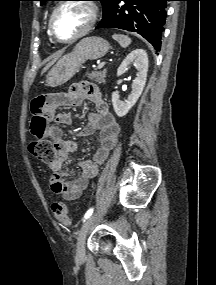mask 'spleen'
I'll return each mask as SVG.
<instances>
[{"mask_svg": "<svg viewBox=\"0 0 216 285\" xmlns=\"http://www.w3.org/2000/svg\"><path fill=\"white\" fill-rule=\"evenodd\" d=\"M113 39L116 40L121 47L126 48L130 45L131 39L127 35L114 34Z\"/></svg>", "mask_w": 216, "mask_h": 285, "instance_id": "3e777b00", "label": "spleen"}]
</instances>
